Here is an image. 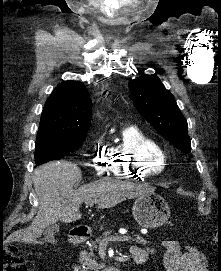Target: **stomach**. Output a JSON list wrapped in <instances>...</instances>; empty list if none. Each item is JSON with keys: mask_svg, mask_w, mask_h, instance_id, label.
I'll return each mask as SVG.
<instances>
[{"mask_svg": "<svg viewBox=\"0 0 221 271\" xmlns=\"http://www.w3.org/2000/svg\"><path fill=\"white\" fill-rule=\"evenodd\" d=\"M134 219L141 227L155 229L163 223H167L170 215V207L160 195H149L143 193L135 199L132 207Z\"/></svg>", "mask_w": 221, "mask_h": 271, "instance_id": "1", "label": "stomach"}]
</instances>
